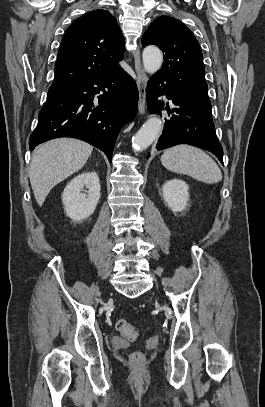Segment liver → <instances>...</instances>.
Listing matches in <instances>:
<instances>
[{"label":"liver","instance_id":"6515ba94","mask_svg":"<svg viewBox=\"0 0 265 407\" xmlns=\"http://www.w3.org/2000/svg\"><path fill=\"white\" fill-rule=\"evenodd\" d=\"M92 150L88 143L73 138L53 139L35 149L29 178L39 206L54 186L85 165Z\"/></svg>","mask_w":265,"mask_h":407}]
</instances>
